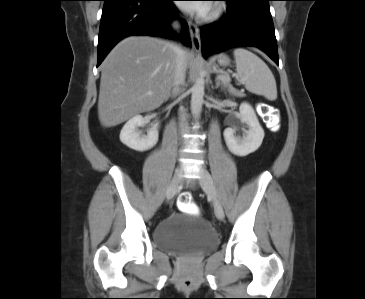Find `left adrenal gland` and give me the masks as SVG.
I'll return each mask as SVG.
<instances>
[{
  "mask_svg": "<svg viewBox=\"0 0 365 299\" xmlns=\"http://www.w3.org/2000/svg\"><path fill=\"white\" fill-rule=\"evenodd\" d=\"M216 84H215V88H219L221 86V89H224L225 85H222L221 82H220V79L217 78L216 80Z\"/></svg>",
  "mask_w": 365,
  "mask_h": 299,
  "instance_id": "left-adrenal-gland-1",
  "label": "left adrenal gland"
}]
</instances>
